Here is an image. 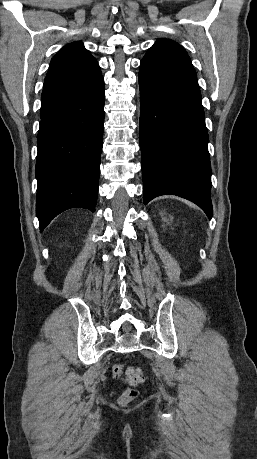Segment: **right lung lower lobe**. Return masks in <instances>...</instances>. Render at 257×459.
I'll return each mask as SVG.
<instances>
[{
  "label": "right lung lower lobe",
  "instance_id": "98d812e1",
  "mask_svg": "<svg viewBox=\"0 0 257 459\" xmlns=\"http://www.w3.org/2000/svg\"><path fill=\"white\" fill-rule=\"evenodd\" d=\"M36 178L40 231L70 208L95 211L104 129V79L98 74L41 96Z\"/></svg>",
  "mask_w": 257,
  "mask_h": 459
}]
</instances>
